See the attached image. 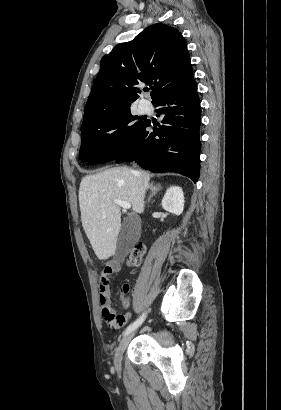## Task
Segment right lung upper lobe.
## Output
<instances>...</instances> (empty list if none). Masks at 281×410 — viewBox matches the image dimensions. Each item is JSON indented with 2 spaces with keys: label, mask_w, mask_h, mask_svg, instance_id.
Wrapping results in <instances>:
<instances>
[{
  "label": "right lung upper lobe",
  "mask_w": 281,
  "mask_h": 410,
  "mask_svg": "<svg viewBox=\"0 0 281 410\" xmlns=\"http://www.w3.org/2000/svg\"><path fill=\"white\" fill-rule=\"evenodd\" d=\"M193 79L186 42L174 27L154 24L132 41L117 45L100 63V71L84 109L83 123L130 107L139 83H153V102Z\"/></svg>",
  "instance_id": "1"
}]
</instances>
